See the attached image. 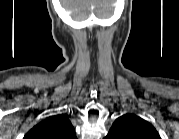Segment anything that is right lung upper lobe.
<instances>
[{
    "instance_id": "right-lung-upper-lobe-1",
    "label": "right lung upper lobe",
    "mask_w": 179,
    "mask_h": 139,
    "mask_svg": "<svg viewBox=\"0 0 179 139\" xmlns=\"http://www.w3.org/2000/svg\"><path fill=\"white\" fill-rule=\"evenodd\" d=\"M26 139H75L74 128L67 117L55 115L35 125Z\"/></svg>"
}]
</instances>
